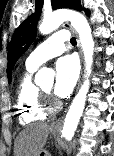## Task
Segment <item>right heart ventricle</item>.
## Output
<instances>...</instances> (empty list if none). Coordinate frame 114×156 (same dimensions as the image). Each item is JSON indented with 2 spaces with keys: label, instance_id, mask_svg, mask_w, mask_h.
Wrapping results in <instances>:
<instances>
[{
  "label": "right heart ventricle",
  "instance_id": "e07e8e85",
  "mask_svg": "<svg viewBox=\"0 0 114 156\" xmlns=\"http://www.w3.org/2000/svg\"><path fill=\"white\" fill-rule=\"evenodd\" d=\"M37 67L26 63L20 76L16 90V108L22 125L43 120L47 112L42 105L40 88L34 83L32 76Z\"/></svg>",
  "mask_w": 114,
  "mask_h": 156
}]
</instances>
